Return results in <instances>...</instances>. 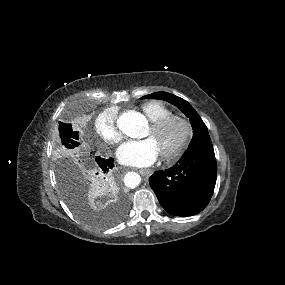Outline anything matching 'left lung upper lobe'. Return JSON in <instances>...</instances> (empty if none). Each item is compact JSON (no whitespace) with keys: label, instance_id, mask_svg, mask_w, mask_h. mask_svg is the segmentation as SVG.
I'll list each match as a JSON object with an SVG mask.
<instances>
[{"label":"left lung upper lobe","instance_id":"5c2ea615","mask_svg":"<svg viewBox=\"0 0 285 285\" xmlns=\"http://www.w3.org/2000/svg\"><path fill=\"white\" fill-rule=\"evenodd\" d=\"M142 99H160L167 101L177 106L187 117H189L193 129V139L186 152L194 149L195 147L212 145L206 125L195 109L184 99L167 92H156L143 96Z\"/></svg>","mask_w":285,"mask_h":285}]
</instances>
